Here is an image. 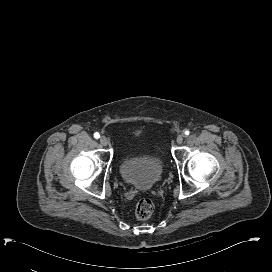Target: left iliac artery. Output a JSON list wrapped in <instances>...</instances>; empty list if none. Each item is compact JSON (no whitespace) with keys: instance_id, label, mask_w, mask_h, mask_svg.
Here are the masks:
<instances>
[{"instance_id":"1","label":"left iliac artery","mask_w":272,"mask_h":272,"mask_svg":"<svg viewBox=\"0 0 272 272\" xmlns=\"http://www.w3.org/2000/svg\"><path fill=\"white\" fill-rule=\"evenodd\" d=\"M189 133H190V132H189L188 130H186V131L184 132L185 135H189Z\"/></svg>"}]
</instances>
